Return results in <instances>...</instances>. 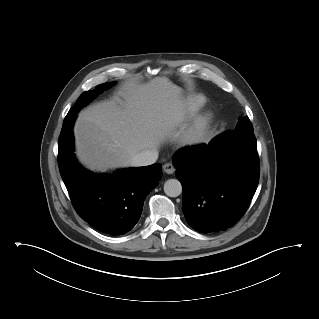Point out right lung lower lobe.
Listing matches in <instances>:
<instances>
[{
    "mask_svg": "<svg viewBox=\"0 0 319 319\" xmlns=\"http://www.w3.org/2000/svg\"><path fill=\"white\" fill-rule=\"evenodd\" d=\"M73 133L58 142L62 179L77 213L95 229L122 235L138 222L144 199L158 185L161 164L94 174L75 160Z\"/></svg>",
    "mask_w": 319,
    "mask_h": 319,
    "instance_id": "right-lung-lower-lobe-1",
    "label": "right lung lower lobe"
}]
</instances>
